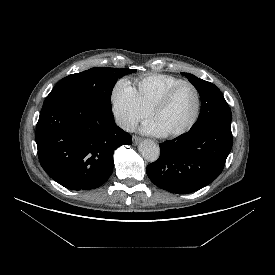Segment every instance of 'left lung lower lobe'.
<instances>
[{
  "label": "left lung lower lobe",
  "mask_w": 275,
  "mask_h": 275,
  "mask_svg": "<svg viewBox=\"0 0 275 275\" xmlns=\"http://www.w3.org/2000/svg\"><path fill=\"white\" fill-rule=\"evenodd\" d=\"M159 145L160 157L147 166L148 177L166 191L191 193L210 184L222 172L232 148L231 124L201 126Z\"/></svg>",
  "instance_id": "0a47b994"
}]
</instances>
